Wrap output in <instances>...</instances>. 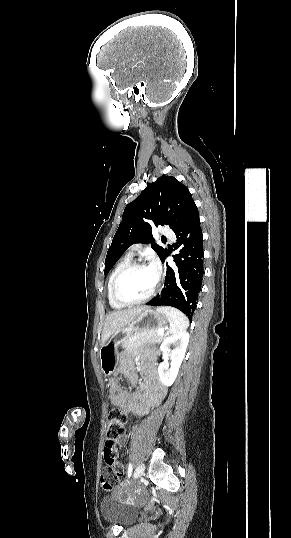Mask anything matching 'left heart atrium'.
<instances>
[{
	"label": "left heart atrium",
	"mask_w": 291,
	"mask_h": 538,
	"mask_svg": "<svg viewBox=\"0 0 291 538\" xmlns=\"http://www.w3.org/2000/svg\"><path fill=\"white\" fill-rule=\"evenodd\" d=\"M149 269L151 270V272L155 275V277H157L159 275V272H160V267H159V264L157 261H153L150 266H149Z\"/></svg>",
	"instance_id": "obj_1"
}]
</instances>
